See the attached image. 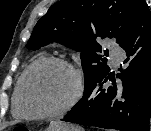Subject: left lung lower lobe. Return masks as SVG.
<instances>
[{
    "label": "left lung lower lobe",
    "mask_w": 151,
    "mask_h": 131,
    "mask_svg": "<svg viewBox=\"0 0 151 131\" xmlns=\"http://www.w3.org/2000/svg\"><path fill=\"white\" fill-rule=\"evenodd\" d=\"M122 48L127 69L96 79L63 121L120 131H149L151 115V12L144 2ZM108 80L112 81L107 87Z\"/></svg>",
    "instance_id": "0a47b994"
}]
</instances>
